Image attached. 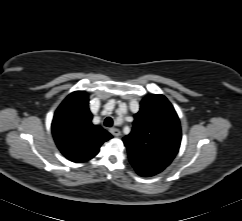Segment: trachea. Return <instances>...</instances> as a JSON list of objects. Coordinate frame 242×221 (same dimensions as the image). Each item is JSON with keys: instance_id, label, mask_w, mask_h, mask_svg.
<instances>
[{"instance_id": "obj_1", "label": "trachea", "mask_w": 242, "mask_h": 221, "mask_svg": "<svg viewBox=\"0 0 242 221\" xmlns=\"http://www.w3.org/2000/svg\"><path fill=\"white\" fill-rule=\"evenodd\" d=\"M104 125L107 127H112L113 126V119L111 117H107L104 121Z\"/></svg>"}]
</instances>
